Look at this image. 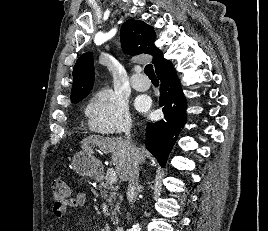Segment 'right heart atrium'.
Segmentation results:
<instances>
[{
  "instance_id": "d8ad5b80",
  "label": "right heart atrium",
  "mask_w": 268,
  "mask_h": 231,
  "mask_svg": "<svg viewBox=\"0 0 268 231\" xmlns=\"http://www.w3.org/2000/svg\"><path fill=\"white\" fill-rule=\"evenodd\" d=\"M86 114L90 128L101 135L127 132L131 114L125 99L109 88H102L92 94Z\"/></svg>"
}]
</instances>
